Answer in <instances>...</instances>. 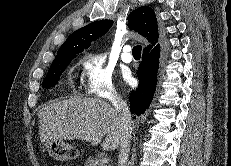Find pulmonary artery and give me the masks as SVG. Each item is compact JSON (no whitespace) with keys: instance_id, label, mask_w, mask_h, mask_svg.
<instances>
[{"instance_id":"pulmonary-artery-1","label":"pulmonary artery","mask_w":231,"mask_h":166,"mask_svg":"<svg viewBox=\"0 0 231 166\" xmlns=\"http://www.w3.org/2000/svg\"><path fill=\"white\" fill-rule=\"evenodd\" d=\"M131 50H132V47L130 45L124 46L123 52L121 54V60L124 63H131L132 62Z\"/></svg>"}]
</instances>
